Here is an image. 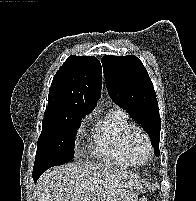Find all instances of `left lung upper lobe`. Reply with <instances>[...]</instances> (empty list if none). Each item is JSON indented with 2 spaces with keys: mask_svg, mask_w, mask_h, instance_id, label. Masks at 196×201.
Masks as SVG:
<instances>
[{
  "mask_svg": "<svg viewBox=\"0 0 196 201\" xmlns=\"http://www.w3.org/2000/svg\"><path fill=\"white\" fill-rule=\"evenodd\" d=\"M102 66L111 99L147 131L159 156L160 116L152 81L136 56L102 57Z\"/></svg>",
  "mask_w": 196,
  "mask_h": 201,
  "instance_id": "1",
  "label": "left lung upper lobe"
}]
</instances>
